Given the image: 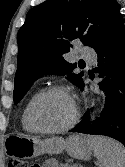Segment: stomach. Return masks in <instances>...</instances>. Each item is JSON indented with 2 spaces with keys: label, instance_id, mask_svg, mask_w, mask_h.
<instances>
[{
  "label": "stomach",
  "instance_id": "stomach-1",
  "mask_svg": "<svg viewBox=\"0 0 125 167\" xmlns=\"http://www.w3.org/2000/svg\"><path fill=\"white\" fill-rule=\"evenodd\" d=\"M77 159H88L93 148L90 138L83 135H72L66 140L58 137L40 140L24 134H13L6 141V154L12 157L31 159L42 154H59L63 151Z\"/></svg>",
  "mask_w": 125,
  "mask_h": 167
}]
</instances>
